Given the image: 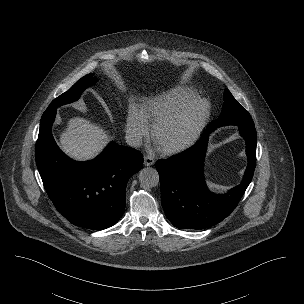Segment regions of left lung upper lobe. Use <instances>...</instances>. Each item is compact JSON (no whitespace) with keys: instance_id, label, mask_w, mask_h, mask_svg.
Returning a JSON list of instances; mask_svg holds the SVG:
<instances>
[{"instance_id":"obj_1","label":"left lung upper lobe","mask_w":304,"mask_h":304,"mask_svg":"<svg viewBox=\"0 0 304 304\" xmlns=\"http://www.w3.org/2000/svg\"><path fill=\"white\" fill-rule=\"evenodd\" d=\"M224 125L254 126L250 114L235 100L228 89L224 90V104L221 115L212 121L207 128H217Z\"/></svg>"}]
</instances>
